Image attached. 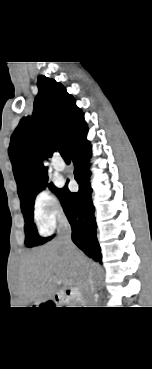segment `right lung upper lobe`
Instances as JSON below:
<instances>
[{"mask_svg": "<svg viewBox=\"0 0 152 369\" xmlns=\"http://www.w3.org/2000/svg\"><path fill=\"white\" fill-rule=\"evenodd\" d=\"M32 117H25L11 136L9 158L20 200L27 190L47 177L43 159L60 145L67 149L87 130L83 112L65 87L45 76L38 78ZM40 144L45 146L42 151Z\"/></svg>", "mask_w": 152, "mask_h": 369, "instance_id": "cb5924a9", "label": "right lung upper lobe"}]
</instances>
